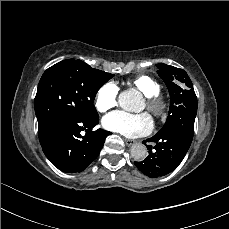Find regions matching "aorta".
I'll return each mask as SVG.
<instances>
[{
	"label": "aorta",
	"mask_w": 229,
	"mask_h": 229,
	"mask_svg": "<svg viewBox=\"0 0 229 229\" xmlns=\"http://www.w3.org/2000/svg\"><path fill=\"white\" fill-rule=\"evenodd\" d=\"M119 105L122 109L130 112L141 110L142 98L138 91H124L119 95ZM147 148L144 144L138 143L131 146L130 154L135 160H144L147 157Z\"/></svg>",
	"instance_id": "1"
}]
</instances>
